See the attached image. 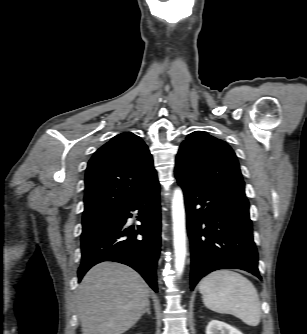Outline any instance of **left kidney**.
<instances>
[{
  "label": "left kidney",
  "instance_id": "obj_1",
  "mask_svg": "<svg viewBox=\"0 0 307 334\" xmlns=\"http://www.w3.org/2000/svg\"><path fill=\"white\" fill-rule=\"evenodd\" d=\"M206 334H243L234 327L218 321L212 320L206 327Z\"/></svg>",
  "mask_w": 307,
  "mask_h": 334
}]
</instances>
